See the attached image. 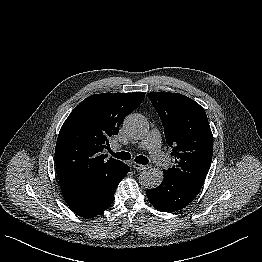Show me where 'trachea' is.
I'll return each instance as SVG.
<instances>
[{"label": "trachea", "instance_id": "1", "mask_svg": "<svg viewBox=\"0 0 262 262\" xmlns=\"http://www.w3.org/2000/svg\"><path fill=\"white\" fill-rule=\"evenodd\" d=\"M110 153H111L112 156H114L115 158L120 159V160H130L131 159V155L128 152L114 153L110 150ZM135 162L139 163V164L146 165L149 162V160L145 156H137L135 158Z\"/></svg>", "mask_w": 262, "mask_h": 262}]
</instances>
